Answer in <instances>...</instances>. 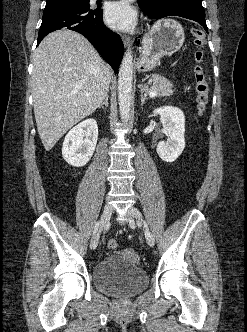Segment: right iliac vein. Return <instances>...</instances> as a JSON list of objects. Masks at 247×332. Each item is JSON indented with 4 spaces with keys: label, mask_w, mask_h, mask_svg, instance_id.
<instances>
[{
    "label": "right iliac vein",
    "mask_w": 247,
    "mask_h": 332,
    "mask_svg": "<svg viewBox=\"0 0 247 332\" xmlns=\"http://www.w3.org/2000/svg\"><path fill=\"white\" fill-rule=\"evenodd\" d=\"M112 207L111 205L107 204L105 205L102 215H101V222H100V230L97 234L93 236L90 242V248L95 249L98 246L99 243V237H100V232L106 227L111 215H112Z\"/></svg>",
    "instance_id": "right-iliac-vein-1"
}]
</instances>
